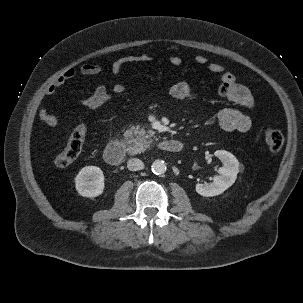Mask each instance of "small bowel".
I'll return each mask as SVG.
<instances>
[{"mask_svg":"<svg viewBox=\"0 0 303 303\" xmlns=\"http://www.w3.org/2000/svg\"><path fill=\"white\" fill-rule=\"evenodd\" d=\"M153 60L150 54H139L121 57L115 60L111 65V72L114 75H119L122 69L131 64L148 63ZM170 64L178 70L183 69L184 63L178 56H171ZM194 62L207 69L212 74H221L220 83L218 86V93L227 101L250 110L253 107V96L250 90L238 83L235 76L225 71L222 64L217 62H210L204 55H197L194 57ZM102 71L101 66L94 63H86L80 67V73L84 76L97 75ZM76 75L74 69H68L57 77L54 82L45 90L46 96H52L56 91L62 87L66 82L73 79ZM126 91V85L123 83H115L110 88L103 84L98 85L91 96L79 100L81 105L87 106L88 103L104 94H122ZM170 94L173 98L180 101H186L193 98V90L190 84L186 81H178L170 87ZM38 115L41 121L48 126H55L57 118L45 107H39ZM217 122L219 126L225 131H239L248 132L252 127V121L248 114L234 108H223L217 113Z\"/></svg>","mask_w":303,"mask_h":303,"instance_id":"c3829d8e","label":"small bowel"}]
</instances>
